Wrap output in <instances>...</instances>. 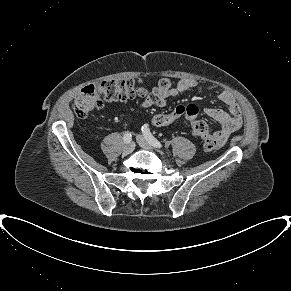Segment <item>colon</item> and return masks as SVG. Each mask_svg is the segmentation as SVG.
<instances>
[{"label": "colon", "mask_w": 291, "mask_h": 291, "mask_svg": "<svg viewBox=\"0 0 291 291\" xmlns=\"http://www.w3.org/2000/svg\"><path fill=\"white\" fill-rule=\"evenodd\" d=\"M146 90L140 81L134 79L103 81L84 87L75 97L73 108L78 117L85 118L93 110L100 109L106 102L126 101L143 97ZM198 109L194 105L178 106L170 113H160L152 117V124L158 127L167 126L185 118L191 122L194 135L202 139L205 151H215L219 140L210 133L207 124L196 118Z\"/></svg>", "instance_id": "colon-1"}]
</instances>
